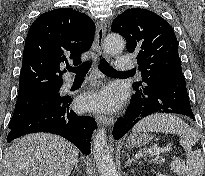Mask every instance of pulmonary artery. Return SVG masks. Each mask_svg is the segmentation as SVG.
<instances>
[{"mask_svg": "<svg viewBox=\"0 0 205 176\" xmlns=\"http://www.w3.org/2000/svg\"><path fill=\"white\" fill-rule=\"evenodd\" d=\"M134 64L131 61V57L130 55L127 54H123L121 56L118 57V65H117V70L118 71H131L134 68ZM72 83L70 80L66 81L64 84V88L68 89L69 87H71Z\"/></svg>", "mask_w": 205, "mask_h": 176, "instance_id": "pulmonary-artery-1", "label": "pulmonary artery"}]
</instances>
